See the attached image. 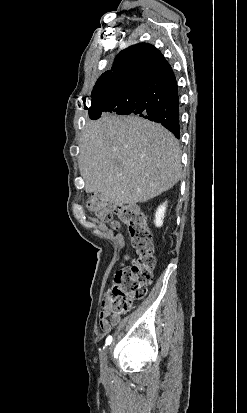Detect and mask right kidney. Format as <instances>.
Returning <instances> with one entry per match:
<instances>
[{
	"mask_svg": "<svg viewBox=\"0 0 247 413\" xmlns=\"http://www.w3.org/2000/svg\"><path fill=\"white\" fill-rule=\"evenodd\" d=\"M166 204L167 202H163V204H160V207H158L156 213H155V225L156 227H162L163 225V219L166 211Z\"/></svg>",
	"mask_w": 247,
	"mask_h": 413,
	"instance_id": "right-kidney-1",
	"label": "right kidney"
}]
</instances>
